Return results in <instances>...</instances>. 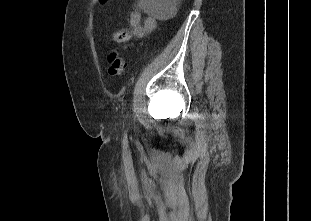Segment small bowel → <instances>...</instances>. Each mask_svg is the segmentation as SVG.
<instances>
[{
  "instance_id": "obj_1",
  "label": "small bowel",
  "mask_w": 311,
  "mask_h": 221,
  "mask_svg": "<svg viewBox=\"0 0 311 221\" xmlns=\"http://www.w3.org/2000/svg\"><path fill=\"white\" fill-rule=\"evenodd\" d=\"M157 21L154 17H141L139 12H133L129 17L131 33L136 37H142L156 28Z\"/></svg>"
}]
</instances>
